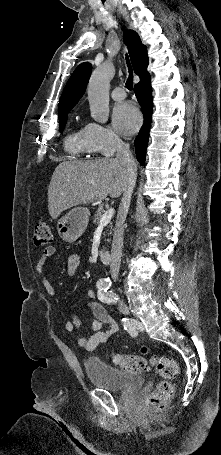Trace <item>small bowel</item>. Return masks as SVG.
<instances>
[{
    "label": "small bowel",
    "mask_w": 221,
    "mask_h": 455,
    "mask_svg": "<svg viewBox=\"0 0 221 455\" xmlns=\"http://www.w3.org/2000/svg\"><path fill=\"white\" fill-rule=\"evenodd\" d=\"M56 253V248L51 246L44 249L36 263V272L41 277L42 283L46 291L53 295L55 290L51 282L45 276V270L48 265L49 259ZM80 265V258L78 255H71L67 261V271L69 275H73ZM89 306L94 315V321L91 324V332L89 335L80 336L77 340L78 345L87 351H93L100 344L106 343L117 331L118 324L116 320L106 311V309L98 302L95 301V292L89 290L87 292ZM105 325L106 329L101 330ZM81 326V320L77 315H74L70 321L64 324L66 332L78 331Z\"/></svg>",
    "instance_id": "small-bowel-1"
}]
</instances>
